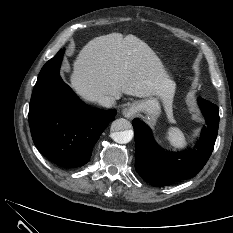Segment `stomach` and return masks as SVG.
<instances>
[{"label":"stomach","instance_id":"1","mask_svg":"<svg viewBox=\"0 0 233 233\" xmlns=\"http://www.w3.org/2000/svg\"><path fill=\"white\" fill-rule=\"evenodd\" d=\"M129 111L143 113L148 122L155 123L161 113V106L156 98L150 97L134 102Z\"/></svg>","mask_w":233,"mask_h":233}]
</instances>
